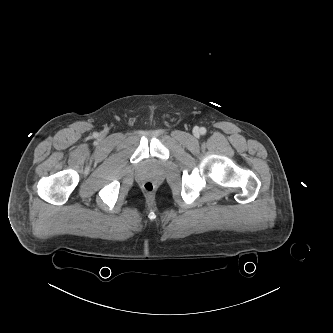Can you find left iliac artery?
<instances>
[{"mask_svg":"<svg viewBox=\"0 0 333 333\" xmlns=\"http://www.w3.org/2000/svg\"><path fill=\"white\" fill-rule=\"evenodd\" d=\"M200 133H201V134H205V133H206V129H205L204 127H202V128L200 129Z\"/></svg>","mask_w":333,"mask_h":333,"instance_id":"44dca946","label":"left iliac artery"}]
</instances>
